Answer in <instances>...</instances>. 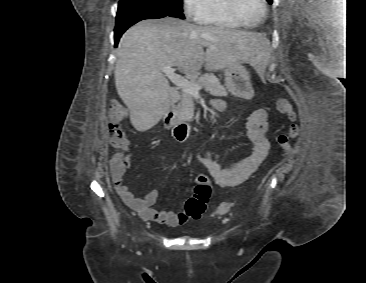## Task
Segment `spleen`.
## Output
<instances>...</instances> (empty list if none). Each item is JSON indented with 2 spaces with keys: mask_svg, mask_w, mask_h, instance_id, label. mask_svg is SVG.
Segmentation results:
<instances>
[{
  "mask_svg": "<svg viewBox=\"0 0 366 283\" xmlns=\"http://www.w3.org/2000/svg\"><path fill=\"white\" fill-rule=\"evenodd\" d=\"M262 72H263L262 68L258 70V73L261 74Z\"/></svg>",
  "mask_w": 366,
  "mask_h": 283,
  "instance_id": "1",
  "label": "spleen"
}]
</instances>
